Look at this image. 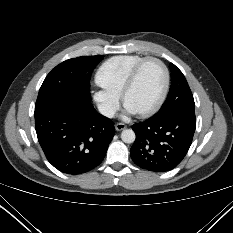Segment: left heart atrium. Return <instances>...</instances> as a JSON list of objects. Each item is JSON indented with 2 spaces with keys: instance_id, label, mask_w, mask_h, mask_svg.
I'll return each instance as SVG.
<instances>
[{
  "instance_id": "obj_1",
  "label": "left heart atrium",
  "mask_w": 233,
  "mask_h": 233,
  "mask_svg": "<svg viewBox=\"0 0 233 233\" xmlns=\"http://www.w3.org/2000/svg\"><path fill=\"white\" fill-rule=\"evenodd\" d=\"M125 113L127 115H134L136 114L137 112L135 110H133L132 108H130L129 106L125 105Z\"/></svg>"
}]
</instances>
